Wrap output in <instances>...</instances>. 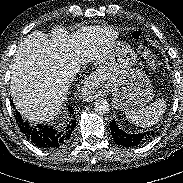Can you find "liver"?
Returning <instances> with one entry per match:
<instances>
[{"mask_svg":"<svg viewBox=\"0 0 183 183\" xmlns=\"http://www.w3.org/2000/svg\"><path fill=\"white\" fill-rule=\"evenodd\" d=\"M117 38L110 26H85L71 34L56 27L50 39L42 31L29 34L11 65L10 91L20 114L32 123L54 119L72 81L67 65L72 60L101 64Z\"/></svg>","mask_w":183,"mask_h":183,"instance_id":"1","label":"liver"}]
</instances>
